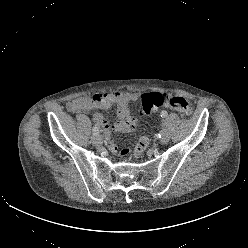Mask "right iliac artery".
<instances>
[{
	"label": "right iliac artery",
	"instance_id": "right-iliac-artery-1",
	"mask_svg": "<svg viewBox=\"0 0 248 248\" xmlns=\"http://www.w3.org/2000/svg\"><path fill=\"white\" fill-rule=\"evenodd\" d=\"M97 134H99V129L97 126H94L93 127V135H97Z\"/></svg>",
	"mask_w": 248,
	"mask_h": 248
}]
</instances>
